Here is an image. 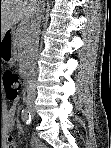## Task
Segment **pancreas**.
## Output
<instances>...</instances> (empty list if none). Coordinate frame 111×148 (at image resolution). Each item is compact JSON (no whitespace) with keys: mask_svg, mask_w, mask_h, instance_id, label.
<instances>
[{"mask_svg":"<svg viewBox=\"0 0 111 148\" xmlns=\"http://www.w3.org/2000/svg\"><path fill=\"white\" fill-rule=\"evenodd\" d=\"M15 37H16L15 40L17 44V49L21 57V59L19 60L20 68L25 69L26 56H27V51L29 47V34H28L27 26L19 25L16 30Z\"/></svg>","mask_w":111,"mask_h":148,"instance_id":"cf45deb5","label":"pancreas"}]
</instances>
